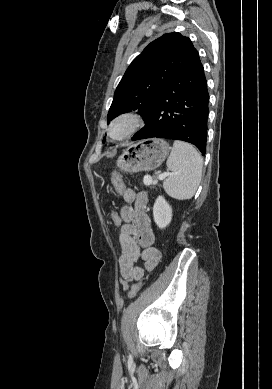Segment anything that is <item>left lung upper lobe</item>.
I'll return each mask as SVG.
<instances>
[{
	"label": "left lung upper lobe",
	"mask_w": 272,
	"mask_h": 389,
	"mask_svg": "<svg viewBox=\"0 0 272 389\" xmlns=\"http://www.w3.org/2000/svg\"><path fill=\"white\" fill-rule=\"evenodd\" d=\"M197 54L191 40L177 32L151 42L133 60L117 86L107 121L135 109L146 120L162 90Z\"/></svg>",
	"instance_id": "left-lung-upper-lobe-1"
}]
</instances>
